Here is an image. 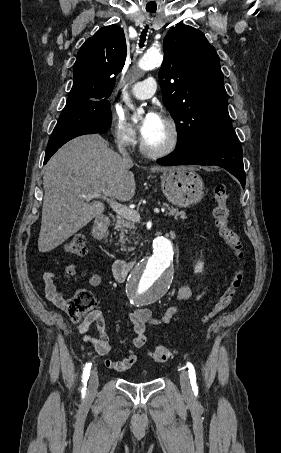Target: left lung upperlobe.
<instances>
[{"label":"left lung upper lobe","mask_w":281,"mask_h":453,"mask_svg":"<svg viewBox=\"0 0 281 453\" xmlns=\"http://www.w3.org/2000/svg\"><path fill=\"white\" fill-rule=\"evenodd\" d=\"M163 50L159 82L177 126V148L233 131L219 56L204 34L176 26L165 36Z\"/></svg>","instance_id":"5c2ea615"}]
</instances>
